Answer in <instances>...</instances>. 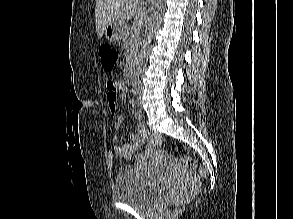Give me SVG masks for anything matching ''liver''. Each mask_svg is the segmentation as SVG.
Masks as SVG:
<instances>
[{"mask_svg": "<svg viewBox=\"0 0 293 219\" xmlns=\"http://www.w3.org/2000/svg\"><path fill=\"white\" fill-rule=\"evenodd\" d=\"M143 0H96L95 23L98 38L104 34L105 28L113 22L125 25L135 17V25L140 26L144 18Z\"/></svg>", "mask_w": 293, "mask_h": 219, "instance_id": "liver-1", "label": "liver"}]
</instances>
